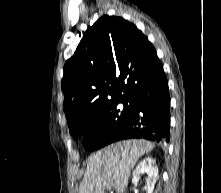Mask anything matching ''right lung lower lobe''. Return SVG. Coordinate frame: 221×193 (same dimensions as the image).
<instances>
[{"label":"right lung lower lobe","mask_w":221,"mask_h":193,"mask_svg":"<svg viewBox=\"0 0 221 193\" xmlns=\"http://www.w3.org/2000/svg\"><path fill=\"white\" fill-rule=\"evenodd\" d=\"M132 105L133 112L128 123L108 140L109 143L128 138L169 142L170 97L161 63L139 85L132 97Z\"/></svg>","instance_id":"98d812e1"}]
</instances>
